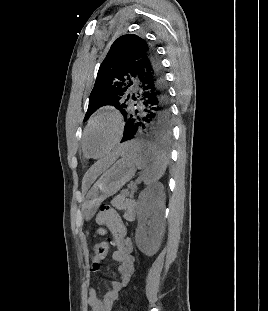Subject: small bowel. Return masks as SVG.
Listing matches in <instances>:
<instances>
[{"label": "small bowel", "instance_id": "c3829d8e", "mask_svg": "<svg viewBox=\"0 0 268 311\" xmlns=\"http://www.w3.org/2000/svg\"><path fill=\"white\" fill-rule=\"evenodd\" d=\"M96 221L100 227L96 234L108 236L114 247L113 259L118 262L119 281H111L112 289L103 299H99L92 284L88 286L87 303L91 311H111L120 291L130 282L135 271V258L132 255V244L127 236L126 228L118 213L108 207H103ZM104 226V227H103Z\"/></svg>", "mask_w": 268, "mask_h": 311}]
</instances>
